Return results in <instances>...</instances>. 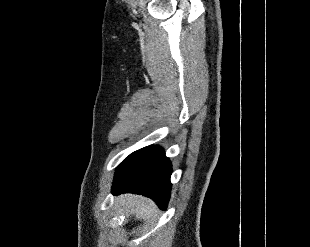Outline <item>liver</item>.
I'll return each instance as SVG.
<instances>
[{
	"label": "liver",
	"instance_id": "6515ba94",
	"mask_svg": "<svg viewBox=\"0 0 310 247\" xmlns=\"http://www.w3.org/2000/svg\"><path fill=\"white\" fill-rule=\"evenodd\" d=\"M120 201L126 204L130 213L134 214L136 219L149 220L155 213V205L142 196L127 194L120 197Z\"/></svg>",
	"mask_w": 310,
	"mask_h": 247
}]
</instances>
